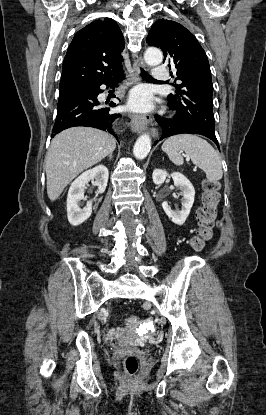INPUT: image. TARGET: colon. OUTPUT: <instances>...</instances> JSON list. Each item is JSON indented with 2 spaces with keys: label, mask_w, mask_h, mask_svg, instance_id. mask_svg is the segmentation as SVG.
I'll list each match as a JSON object with an SVG mask.
<instances>
[{
  "label": "colon",
  "mask_w": 266,
  "mask_h": 415,
  "mask_svg": "<svg viewBox=\"0 0 266 415\" xmlns=\"http://www.w3.org/2000/svg\"><path fill=\"white\" fill-rule=\"evenodd\" d=\"M220 201L219 184L214 181L205 180L203 182L202 205L197 211L198 229L196 235L190 240V245L195 251L201 250L205 243L213 235V227L217 217V206ZM127 325L138 328L141 320L137 316L125 318ZM125 371L129 375H134L139 369V362L136 356L127 355L123 360Z\"/></svg>",
  "instance_id": "1"
}]
</instances>
